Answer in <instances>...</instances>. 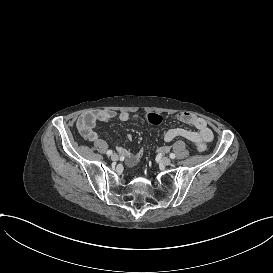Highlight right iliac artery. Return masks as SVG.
<instances>
[{
	"label": "right iliac artery",
	"mask_w": 273,
	"mask_h": 273,
	"mask_svg": "<svg viewBox=\"0 0 273 273\" xmlns=\"http://www.w3.org/2000/svg\"><path fill=\"white\" fill-rule=\"evenodd\" d=\"M112 153H113L112 150H108V151H107V155H108V156H110Z\"/></svg>",
	"instance_id": "1"
}]
</instances>
